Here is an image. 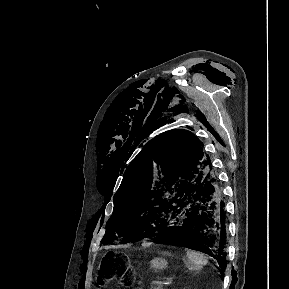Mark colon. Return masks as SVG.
<instances>
[{
    "label": "colon",
    "mask_w": 289,
    "mask_h": 289,
    "mask_svg": "<svg viewBox=\"0 0 289 289\" xmlns=\"http://www.w3.org/2000/svg\"><path fill=\"white\" fill-rule=\"evenodd\" d=\"M130 286L133 283L132 271L121 263L116 253L108 252L104 255L103 263L97 273V284Z\"/></svg>",
    "instance_id": "5ec220e1"
}]
</instances>
